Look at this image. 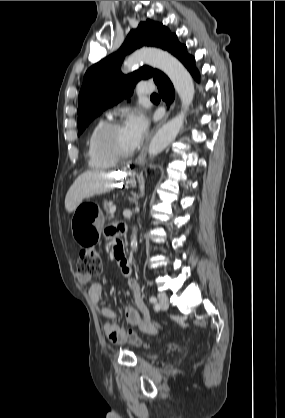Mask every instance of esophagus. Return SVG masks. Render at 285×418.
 <instances>
[{
	"instance_id": "34e87169",
	"label": "esophagus",
	"mask_w": 285,
	"mask_h": 418,
	"mask_svg": "<svg viewBox=\"0 0 285 418\" xmlns=\"http://www.w3.org/2000/svg\"><path fill=\"white\" fill-rule=\"evenodd\" d=\"M167 117H168V114L166 112L165 115H164V117H163V119L151 130V132L149 133V135H148V137H147V139L145 141V144H144V146H143V148H142L139 156L137 157V159L135 161V164H140L144 160V158L146 156V153H147V148H148V145H149V142H150L151 138L154 136V134L156 133V131L158 130V128L167 120Z\"/></svg>"
}]
</instances>
